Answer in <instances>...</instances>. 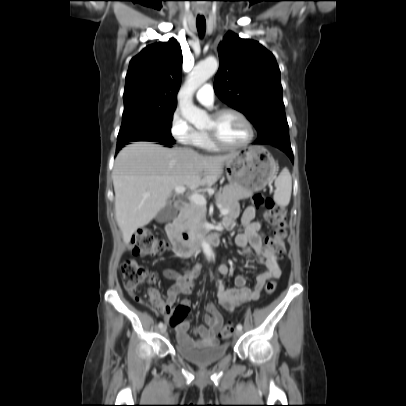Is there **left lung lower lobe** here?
I'll list each match as a JSON object with an SVG mask.
<instances>
[{
  "label": "left lung lower lobe",
  "mask_w": 406,
  "mask_h": 406,
  "mask_svg": "<svg viewBox=\"0 0 406 406\" xmlns=\"http://www.w3.org/2000/svg\"><path fill=\"white\" fill-rule=\"evenodd\" d=\"M254 144L273 145V146L279 148L280 150L284 151L290 157L292 162L294 161L290 143L267 139V140H256V142Z\"/></svg>",
  "instance_id": "0a47b994"
}]
</instances>
